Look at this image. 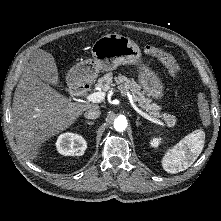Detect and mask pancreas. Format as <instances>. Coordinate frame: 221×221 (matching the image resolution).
<instances>
[{
	"label": "pancreas",
	"instance_id": "obj_1",
	"mask_svg": "<svg viewBox=\"0 0 221 221\" xmlns=\"http://www.w3.org/2000/svg\"><path fill=\"white\" fill-rule=\"evenodd\" d=\"M119 85L120 88L131 91L132 98L135 102H138L141 109L148 112L149 115L155 118H163L169 126H174L176 123V117L168 113H160L161 107L152 103L151 99L145 97V92L141 91V86L137 84L133 79H128L126 76L115 77V83L113 82V74L107 73L103 77L99 78L96 87L104 91H109Z\"/></svg>",
	"mask_w": 221,
	"mask_h": 221
}]
</instances>
